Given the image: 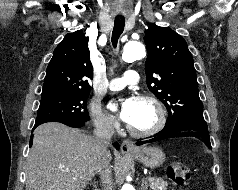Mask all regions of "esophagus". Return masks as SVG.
<instances>
[{
	"mask_svg": "<svg viewBox=\"0 0 238 190\" xmlns=\"http://www.w3.org/2000/svg\"><path fill=\"white\" fill-rule=\"evenodd\" d=\"M121 151L123 153L136 151V146L131 140H124L121 144Z\"/></svg>",
	"mask_w": 238,
	"mask_h": 190,
	"instance_id": "obj_1",
	"label": "esophagus"
}]
</instances>
